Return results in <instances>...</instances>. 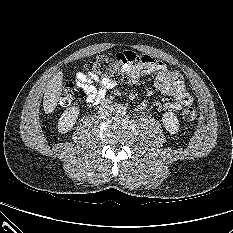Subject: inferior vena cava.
Masks as SVG:
<instances>
[{"mask_svg":"<svg viewBox=\"0 0 233 233\" xmlns=\"http://www.w3.org/2000/svg\"><path fill=\"white\" fill-rule=\"evenodd\" d=\"M112 111H113V108H112V107H109L106 111L100 110V115H101L103 118H106L107 116L111 115L110 113H112Z\"/></svg>","mask_w":233,"mask_h":233,"instance_id":"obj_1","label":"inferior vena cava"}]
</instances>
